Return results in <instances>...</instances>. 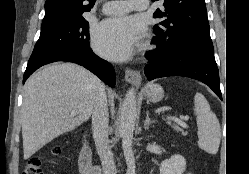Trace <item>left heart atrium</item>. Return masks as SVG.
<instances>
[{"instance_id": "left-heart-atrium-1", "label": "left heart atrium", "mask_w": 249, "mask_h": 174, "mask_svg": "<svg viewBox=\"0 0 249 174\" xmlns=\"http://www.w3.org/2000/svg\"><path fill=\"white\" fill-rule=\"evenodd\" d=\"M143 31V23L135 16L110 18L95 29L93 45L100 55L122 61L132 56Z\"/></svg>"}]
</instances>
